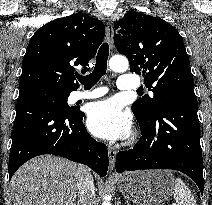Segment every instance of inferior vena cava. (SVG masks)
I'll return each mask as SVG.
<instances>
[{"label":"inferior vena cava","mask_w":212,"mask_h":205,"mask_svg":"<svg viewBox=\"0 0 212 205\" xmlns=\"http://www.w3.org/2000/svg\"><path fill=\"white\" fill-rule=\"evenodd\" d=\"M78 205H97L94 182L88 168L78 167L77 172Z\"/></svg>","instance_id":"inferior-vena-cava-1"}]
</instances>
